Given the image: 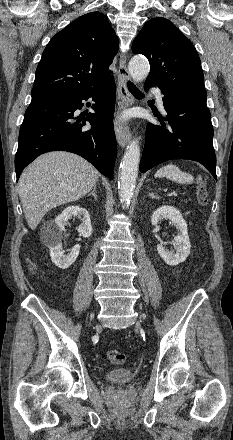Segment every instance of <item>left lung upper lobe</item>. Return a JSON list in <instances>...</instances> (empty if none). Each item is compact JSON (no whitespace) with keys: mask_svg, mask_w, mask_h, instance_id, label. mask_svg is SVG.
<instances>
[{"mask_svg":"<svg viewBox=\"0 0 233 440\" xmlns=\"http://www.w3.org/2000/svg\"><path fill=\"white\" fill-rule=\"evenodd\" d=\"M134 54L150 63L148 82L167 94H189L207 98L197 51L175 25L165 18L149 20L133 42Z\"/></svg>","mask_w":233,"mask_h":440,"instance_id":"1","label":"left lung upper lobe"}]
</instances>
